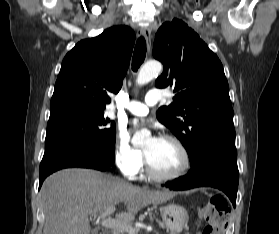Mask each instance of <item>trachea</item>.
Wrapping results in <instances>:
<instances>
[{
  "label": "trachea",
  "mask_w": 279,
  "mask_h": 234,
  "mask_svg": "<svg viewBox=\"0 0 279 234\" xmlns=\"http://www.w3.org/2000/svg\"><path fill=\"white\" fill-rule=\"evenodd\" d=\"M146 56V41L143 37L137 40L132 58V70L136 72Z\"/></svg>",
  "instance_id": "1"
}]
</instances>
